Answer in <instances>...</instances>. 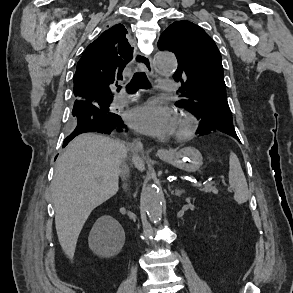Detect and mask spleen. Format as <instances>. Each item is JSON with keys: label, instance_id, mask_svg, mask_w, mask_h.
Segmentation results:
<instances>
[{"label": "spleen", "instance_id": "1", "mask_svg": "<svg viewBox=\"0 0 293 293\" xmlns=\"http://www.w3.org/2000/svg\"><path fill=\"white\" fill-rule=\"evenodd\" d=\"M229 184L235 190L234 200L238 204L245 203L249 198L248 185L239 159L233 152L229 156Z\"/></svg>", "mask_w": 293, "mask_h": 293}]
</instances>
